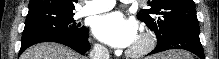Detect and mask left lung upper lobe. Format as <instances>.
Returning <instances> with one entry per match:
<instances>
[{
	"label": "left lung upper lobe",
	"instance_id": "left-lung-upper-lobe-1",
	"mask_svg": "<svg viewBox=\"0 0 219 59\" xmlns=\"http://www.w3.org/2000/svg\"><path fill=\"white\" fill-rule=\"evenodd\" d=\"M148 6L137 18L155 32L158 40L168 38L184 26L199 25L193 0H150Z\"/></svg>",
	"mask_w": 219,
	"mask_h": 59
}]
</instances>
